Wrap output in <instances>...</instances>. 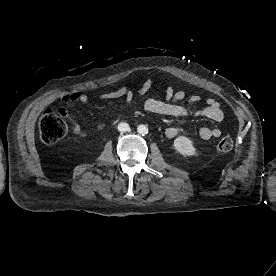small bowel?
Listing matches in <instances>:
<instances>
[{"label":"small bowel","instance_id":"c3829d8e","mask_svg":"<svg viewBox=\"0 0 276 276\" xmlns=\"http://www.w3.org/2000/svg\"><path fill=\"white\" fill-rule=\"evenodd\" d=\"M151 85L152 81L150 78H148L139 90L138 96L145 95L151 88ZM119 97H124L125 102L127 104H130L134 99V93L130 88L124 86L117 90L105 92L100 95V98L103 100H111ZM184 98V91H174L172 86L169 85L166 88L164 99H157L154 97L147 98L144 102V108L149 113L173 117H181L192 114L195 116L205 117L217 123H220L224 120V113L215 99H207L206 105L204 107L192 111L190 109V106L199 102L201 100V97L199 95H193L192 97H190L188 103L183 102ZM88 100V96L81 92H71L60 97V101L62 104H85L88 102ZM60 112L68 120L73 133L84 136V132L80 124L64 108H60ZM182 131L183 129L181 127H169L165 131V136L171 139ZM197 133L201 139L209 140L211 138L219 137L221 135V130L219 127H201L198 129Z\"/></svg>","mask_w":276,"mask_h":276}]
</instances>
